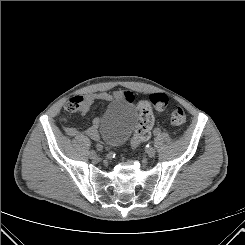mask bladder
I'll return each instance as SVG.
<instances>
[{"mask_svg": "<svg viewBox=\"0 0 245 245\" xmlns=\"http://www.w3.org/2000/svg\"><path fill=\"white\" fill-rule=\"evenodd\" d=\"M137 122L135 106L126 100L111 103L99 120V130L109 146L116 147L127 141Z\"/></svg>", "mask_w": 245, "mask_h": 245, "instance_id": "obj_1", "label": "bladder"}]
</instances>
